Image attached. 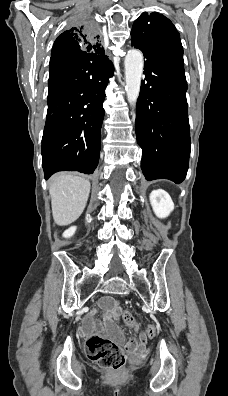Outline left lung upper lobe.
I'll list each match as a JSON object with an SVG mask.
<instances>
[{"mask_svg":"<svg viewBox=\"0 0 228 396\" xmlns=\"http://www.w3.org/2000/svg\"><path fill=\"white\" fill-rule=\"evenodd\" d=\"M131 37L136 46L151 47L159 54L175 58L184 65L180 35L164 15L157 12L142 13L132 26Z\"/></svg>","mask_w":228,"mask_h":396,"instance_id":"left-lung-upper-lobe-1","label":"left lung upper lobe"}]
</instances>
